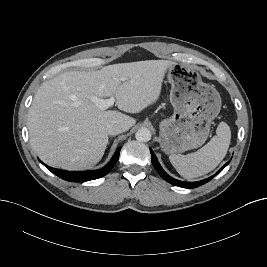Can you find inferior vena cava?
I'll return each instance as SVG.
<instances>
[{"label": "inferior vena cava", "instance_id": "inferior-vena-cava-1", "mask_svg": "<svg viewBox=\"0 0 267 267\" xmlns=\"http://www.w3.org/2000/svg\"><path fill=\"white\" fill-rule=\"evenodd\" d=\"M125 131V128L119 123H110L106 126V132L109 135H117Z\"/></svg>", "mask_w": 267, "mask_h": 267}]
</instances>
